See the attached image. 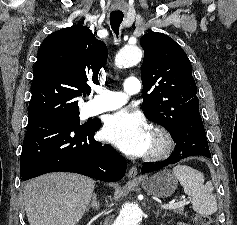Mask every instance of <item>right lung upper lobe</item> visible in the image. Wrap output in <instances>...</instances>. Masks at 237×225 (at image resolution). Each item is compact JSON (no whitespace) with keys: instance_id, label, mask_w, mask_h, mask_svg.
Instances as JSON below:
<instances>
[{"instance_id":"1","label":"right lung upper lobe","mask_w":237,"mask_h":225,"mask_svg":"<svg viewBox=\"0 0 237 225\" xmlns=\"http://www.w3.org/2000/svg\"><path fill=\"white\" fill-rule=\"evenodd\" d=\"M106 60V45L86 26L73 25L50 34L34 65L28 120L79 112L77 98L91 92L88 81L99 83L98 73Z\"/></svg>"}]
</instances>
